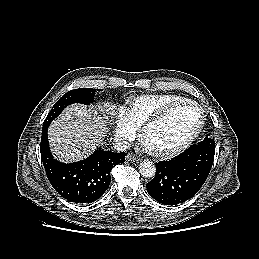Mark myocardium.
I'll list each match as a JSON object with an SVG mask.
<instances>
[{
	"instance_id": "obj_1",
	"label": "myocardium",
	"mask_w": 259,
	"mask_h": 259,
	"mask_svg": "<svg viewBox=\"0 0 259 259\" xmlns=\"http://www.w3.org/2000/svg\"><path fill=\"white\" fill-rule=\"evenodd\" d=\"M187 105L195 107L199 111V114H200L199 123L196 126V128L194 129V131L188 137H186L184 140H182L181 142H179L175 145H172L169 147H164V148H156V147L151 146L148 143V133H149L150 129L153 126H155L156 124L163 121L167 116H169L176 109L183 107V106H187ZM204 123H205V114H204L202 107L198 103H196L192 100L186 99V100L176 102V103H173V104L165 107L164 109L159 111L156 115H154L153 117L148 119L142 126L141 139H142V142L144 143L145 147L147 148V150L152 155H154L156 157H161V158H170V157H173V156L181 153L185 149H187L196 140V138L201 133V131L204 127Z\"/></svg>"
}]
</instances>
